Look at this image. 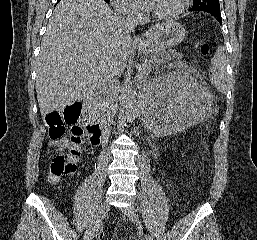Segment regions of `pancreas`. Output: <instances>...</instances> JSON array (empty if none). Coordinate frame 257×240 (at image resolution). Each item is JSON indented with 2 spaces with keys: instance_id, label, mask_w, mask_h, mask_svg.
I'll use <instances>...</instances> for the list:
<instances>
[{
  "instance_id": "1",
  "label": "pancreas",
  "mask_w": 257,
  "mask_h": 240,
  "mask_svg": "<svg viewBox=\"0 0 257 240\" xmlns=\"http://www.w3.org/2000/svg\"><path fill=\"white\" fill-rule=\"evenodd\" d=\"M182 57V54L176 51L162 52L153 56L150 60L144 62L139 69L138 77L146 78L148 73L154 69H157L159 65L165 64L172 60H178ZM103 109V102L99 99L95 104L96 113H99Z\"/></svg>"
}]
</instances>
